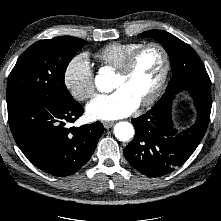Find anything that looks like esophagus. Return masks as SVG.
Instances as JSON below:
<instances>
[{"instance_id":"1","label":"esophagus","mask_w":221,"mask_h":221,"mask_svg":"<svg viewBox=\"0 0 221 221\" xmlns=\"http://www.w3.org/2000/svg\"><path fill=\"white\" fill-rule=\"evenodd\" d=\"M103 125H104V127L106 129H109V128H111L114 125V122H112V121H104Z\"/></svg>"}]
</instances>
